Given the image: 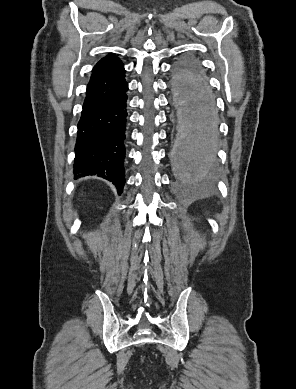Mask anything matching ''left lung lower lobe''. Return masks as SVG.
Returning a JSON list of instances; mask_svg holds the SVG:
<instances>
[{"mask_svg": "<svg viewBox=\"0 0 296 389\" xmlns=\"http://www.w3.org/2000/svg\"><path fill=\"white\" fill-rule=\"evenodd\" d=\"M181 92L192 112L193 123L184 135L179 162L185 175H203L211 168L215 157L214 101L205 77H199L194 87ZM206 124L209 126L207 129Z\"/></svg>", "mask_w": 296, "mask_h": 389, "instance_id": "left-lung-lower-lobe-1", "label": "left lung lower lobe"}]
</instances>
